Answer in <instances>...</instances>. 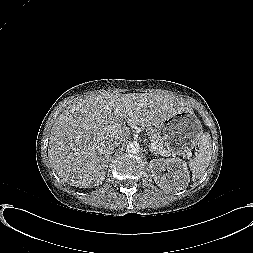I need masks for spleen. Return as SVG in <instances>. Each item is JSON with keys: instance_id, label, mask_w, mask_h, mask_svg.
Returning a JSON list of instances; mask_svg holds the SVG:
<instances>
[{"instance_id": "obj_1", "label": "spleen", "mask_w": 253, "mask_h": 253, "mask_svg": "<svg viewBox=\"0 0 253 253\" xmlns=\"http://www.w3.org/2000/svg\"><path fill=\"white\" fill-rule=\"evenodd\" d=\"M198 153L189 161V167L192 171V179L197 180L204 174L211 160V137L210 134H202L198 143Z\"/></svg>"}]
</instances>
